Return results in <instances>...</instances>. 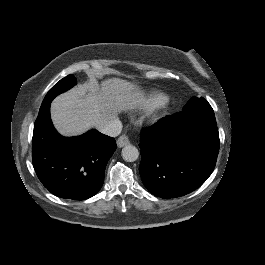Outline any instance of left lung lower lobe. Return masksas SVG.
I'll use <instances>...</instances> for the list:
<instances>
[{
  "instance_id": "obj_1",
  "label": "left lung lower lobe",
  "mask_w": 265,
  "mask_h": 265,
  "mask_svg": "<svg viewBox=\"0 0 265 265\" xmlns=\"http://www.w3.org/2000/svg\"><path fill=\"white\" fill-rule=\"evenodd\" d=\"M139 146L148 191L165 199L186 195L214 170L220 146L214 111L205 101L166 116L141 131Z\"/></svg>"
}]
</instances>
